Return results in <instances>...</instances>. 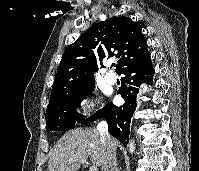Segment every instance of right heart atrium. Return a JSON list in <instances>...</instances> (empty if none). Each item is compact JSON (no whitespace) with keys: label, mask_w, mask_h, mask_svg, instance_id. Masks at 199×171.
Masks as SVG:
<instances>
[{"label":"right heart atrium","mask_w":199,"mask_h":171,"mask_svg":"<svg viewBox=\"0 0 199 171\" xmlns=\"http://www.w3.org/2000/svg\"><path fill=\"white\" fill-rule=\"evenodd\" d=\"M79 111L80 113L88 117L96 109V101L91 95H84L79 101Z\"/></svg>","instance_id":"obj_1"}]
</instances>
